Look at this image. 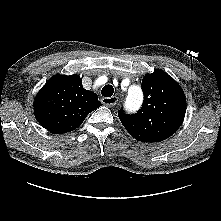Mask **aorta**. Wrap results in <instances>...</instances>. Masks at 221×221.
<instances>
[{
  "label": "aorta",
  "mask_w": 221,
  "mask_h": 221,
  "mask_svg": "<svg viewBox=\"0 0 221 221\" xmlns=\"http://www.w3.org/2000/svg\"><path fill=\"white\" fill-rule=\"evenodd\" d=\"M141 101H142L141 91L138 88L131 89L127 96L126 100L127 104L134 108H137L140 106Z\"/></svg>",
  "instance_id": "1"
}]
</instances>
